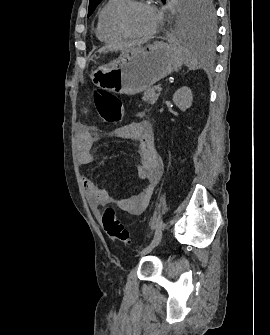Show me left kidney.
<instances>
[{
  "mask_svg": "<svg viewBox=\"0 0 270 335\" xmlns=\"http://www.w3.org/2000/svg\"><path fill=\"white\" fill-rule=\"evenodd\" d=\"M173 102L179 110H182V112H185L187 108H190L192 106L193 98H192V92L190 88H187V86H183V88H179L177 92H175L173 96Z\"/></svg>",
  "mask_w": 270,
  "mask_h": 335,
  "instance_id": "5707ae66",
  "label": "left kidney"
}]
</instances>
